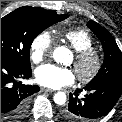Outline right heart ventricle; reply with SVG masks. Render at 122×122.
Masks as SVG:
<instances>
[{"label":"right heart ventricle","mask_w":122,"mask_h":122,"mask_svg":"<svg viewBox=\"0 0 122 122\" xmlns=\"http://www.w3.org/2000/svg\"><path fill=\"white\" fill-rule=\"evenodd\" d=\"M61 37L67 42L75 51H80L94 46V39L91 34L84 29L69 30Z\"/></svg>","instance_id":"obj_1"}]
</instances>
